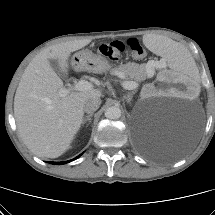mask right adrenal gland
Wrapping results in <instances>:
<instances>
[{"label": "right adrenal gland", "instance_id": "1", "mask_svg": "<svg viewBox=\"0 0 215 215\" xmlns=\"http://www.w3.org/2000/svg\"><path fill=\"white\" fill-rule=\"evenodd\" d=\"M93 116V113H90L88 114L87 116H85L83 118V121H82V126H84V124L88 121L89 123H91V117Z\"/></svg>", "mask_w": 215, "mask_h": 215}]
</instances>
